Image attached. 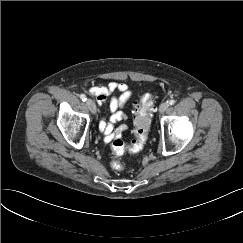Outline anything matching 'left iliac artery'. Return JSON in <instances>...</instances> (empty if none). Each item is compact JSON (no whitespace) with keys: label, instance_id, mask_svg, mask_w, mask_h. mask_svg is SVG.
<instances>
[{"label":"left iliac artery","instance_id":"left-iliac-artery-1","mask_svg":"<svg viewBox=\"0 0 243 243\" xmlns=\"http://www.w3.org/2000/svg\"><path fill=\"white\" fill-rule=\"evenodd\" d=\"M175 102H176L175 100H169V101H168V104H169V105H174Z\"/></svg>","mask_w":243,"mask_h":243}]
</instances>
